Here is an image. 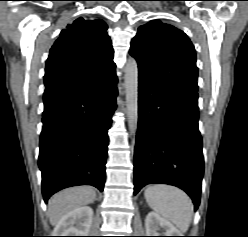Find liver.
Here are the masks:
<instances>
[{"instance_id": "6515ba94", "label": "liver", "mask_w": 248, "mask_h": 237, "mask_svg": "<svg viewBox=\"0 0 248 237\" xmlns=\"http://www.w3.org/2000/svg\"><path fill=\"white\" fill-rule=\"evenodd\" d=\"M95 199V189L90 186L68 188L56 193L48 202V217L51 225H57L64 215L93 203Z\"/></svg>"}]
</instances>
